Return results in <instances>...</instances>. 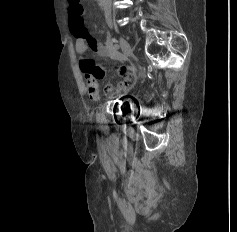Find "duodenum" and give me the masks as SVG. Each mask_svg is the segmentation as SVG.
<instances>
[{"mask_svg":"<svg viewBox=\"0 0 237 232\" xmlns=\"http://www.w3.org/2000/svg\"><path fill=\"white\" fill-rule=\"evenodd\" d=\"M100 6L104 4V0H96Z\"/></svg>","mask_w":237,"mask_h":232,"instance_id":"410a0bca","label":"duodenum"}]
</instances>
